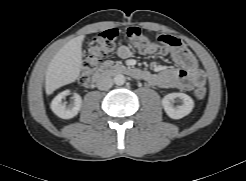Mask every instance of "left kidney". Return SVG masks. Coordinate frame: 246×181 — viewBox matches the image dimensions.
<instances>
[{"label":"left kidney","mask_w":246,"mask_h":181,"mask_svg":"<svg viewBox=\"0 0 246 181\" xmlns=\"http://www.w3.org/2000/svg\"><path fill=\"white\" fill-rule=\"evenodd\" d=\"M179 98L183 104L174 106V99ZM162 106L166 114L172 119H181L187 116L194 107V102L190 96L184 93H170L162 99Z\"/></svg>","instance_id":"5707ae66"}]
</instances>
